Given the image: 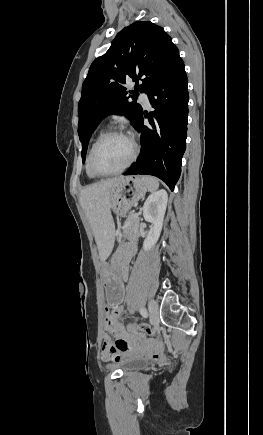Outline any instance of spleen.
<instances>
[{"instance_id": "spleen-1", "label": "spleen", "mask_w": 263, "mask_h": 435, "mask_svg": "<svg viewBox=\"0 0 263 435\" xmlns=\"http://www.w3.org/2000/svg\"><path fill=\"white\" fill-rule=\"evenodd\" d=\"M141 178L150 192H154L155 190L158 189L159 187L158 179L152 176H142Z\"/></svg>"}]
</instances>
